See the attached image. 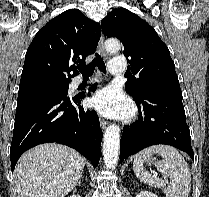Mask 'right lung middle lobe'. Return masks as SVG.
Returning a JSON list of instances; mask_svg holds the SVG:
<instances>
[{"label":"right lung middle lobe","mask_w":209,"mask_h":197,"mask_svg":"<svg viewBox=\"0 0 209 197\" xmlns=\"http://www.w3.org/2000/svg\"><path fill=\"white\" fill-rule=\"evenodd\" d=\"M68 88L69 83H49L19 88L17 104L41 97L63 96L68 93Z\"/></svg>","instance_id":"obj_1"}]
</instances>
